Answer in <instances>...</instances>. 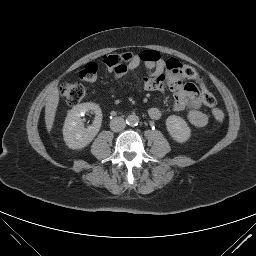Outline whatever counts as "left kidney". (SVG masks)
<instances>
[{"label":"left kidney","mask_w":256,"mask_h":256,"mask_svg":"<svg viewBox=\"0 0 256 256\" xmlns=\"http://www.w3.org/2000/svg\"><path fill=\"white\" fill-rule=\"evenodd\" d=\"M166 127L170 136L178 143H184L191 137L190 127L180 116H169L166 119Z\"/></svg>","instance_id":"5707ae66"}]
</instances>
